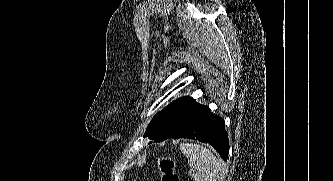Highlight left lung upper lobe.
Listing matches in <instances>:
<instances>
[{"mask_svg":"<svg viewBox=\"0 0 333 181\" xmlns=\"http://www.w3.org/2000/svg\"><path fill=\"white\" fill-rule=\"evenodd\" d=\"M206 106L191 97L179 98L158 112L149 123L144 137L150 140L159 136L166 140L177 135Z\"/></svg>","mask_w":333,"mask_h":181,"instance_id":"1","label":"left lung upper lobe"}]
</instances>
